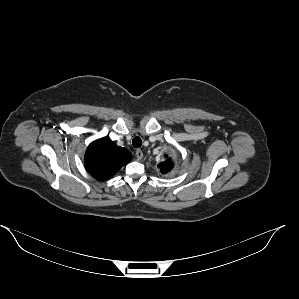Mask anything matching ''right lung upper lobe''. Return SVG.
Listing matches in <instances>:
<instances>
[{"mask_svg":"<svg viewBox=\"0 0 299 299\" xmlns=\"http://www.w3.org/2000/svg\"><path fill=\"white\" fill-rule=\"evenodd\" d=\"M131 158V153L127 149L104 137L88 146L85 153V167L96 179L106 180L130 162Z\"/></svg>","mask_w":299,"mask_h":299,"instance_id":"right-lung-upper-lobe-1","label":"right lung upper lobe"}]
</instances>
